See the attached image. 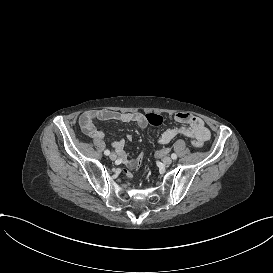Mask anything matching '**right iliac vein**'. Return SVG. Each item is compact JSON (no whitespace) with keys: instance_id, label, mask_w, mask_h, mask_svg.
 <instances>
[{"instance_id":"63e3f726","label":"right iliac vein","mask_w":273,"mask_h":273,"mask_svg":"<svg viewBox=\"0 0 273 273\" xmlns=\"http://www.w3.org/2000/svg\"><path fill=\"white\" fill-rule=\"evenodd\" d=\"M109 158L113 161L117 158V155L116 153L112 152L110 155H109Z\"/></svg>"}]
</instances>
